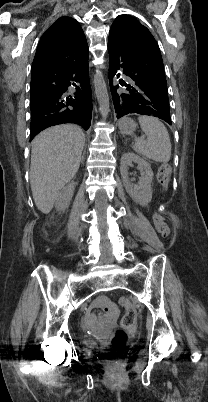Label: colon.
<instances>
[{
  "label": "colon",
  "mask_w": 208,
  "mask_h": 402,
  "mask_svg": "<svg viewBox=\"0 0 208 402\" xmlns=\"http://www.w3.org/2000/svg\"><path fill=\"white\" fill-rule=\"evenodd\" d=\"M171 175L172 166L169 163L161 164L158 171V181L161 184L163 190H167L169 188ZM153 222L161 237L165 239H169L171 237L170 226L160 213L156 212L153 215ZM120 305L121 308L124 310V312L122 313V318L124 319L123 326L121 327L119 324H114L112 326V331L115 333L112 338V343L115 344L117 350L122 349V342L126 336V327H135V315L137 314L135 303L131 301L130 297H121Z\"/></svg>",
  "instance_id": "1"
}]
</instances>
